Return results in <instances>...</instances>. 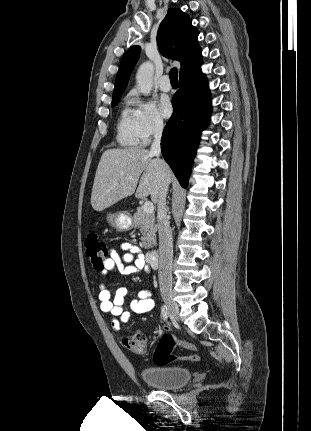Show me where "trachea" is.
Here are the masks:
<instances>
[{"label":"trachea","mask_w":311,"mask_h":431,"mask_svg":"<svg viewBox=\"0 0 311 431\" xmlns=\"http://www.w3.org/2000/svg\"><path fill=\"white\" fill-rule=\"evenodd\" d=\"M170 82L173 84H178V70L177 68H172L169 72Z\"/></svg>","instance_id":"3493384b"}]
</instances>
